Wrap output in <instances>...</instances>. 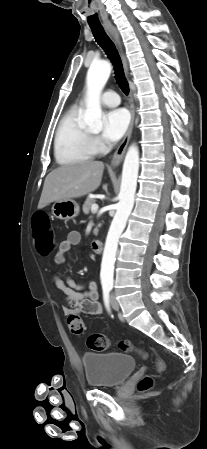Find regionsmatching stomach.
Listing matches in <instances>:
<instances>
[{
  "label": "stomach",
  "instance_id": "obj_1",
  "mask_svg": "<svg viewBox=\"0 0 207 449\" xmlns=\"http://www.w3.org/2000/svg\"><path fill=\"white\" fill-rule=\"evenodd\" d=\"M79 212L78 203L72 199L56 201L52 206V215L61 220L75 218Z\"/></svg>",
  "mask_w": 207,
  "mask_h": 449
}]
</instances>
